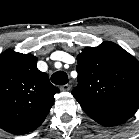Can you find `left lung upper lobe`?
Returning <instances> with one entry per match:
<instances>
[{"label":"left lung upper lobe","mask_w":139,"mask_h":139,"mask_svg":"<svg viewBox=\"0 0 139 139\" xmlns=\"http://www.w3.org/2000/svg\"><path fill=\"white\" fill-rule=\"evenodd\" d=\"M74 98L88 114L136 112L139 61L119 45L105 41L77 56Z\"/></svg>","instance_id":"5c2ea615"}]
</instances>
